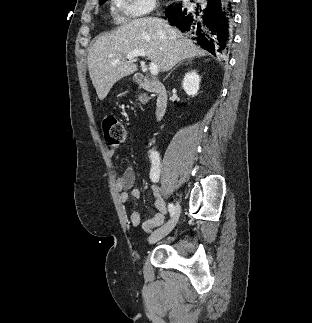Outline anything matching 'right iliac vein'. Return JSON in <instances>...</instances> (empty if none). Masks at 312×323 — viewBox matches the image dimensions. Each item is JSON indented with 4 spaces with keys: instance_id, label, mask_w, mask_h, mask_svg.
Returning <instances> with one entry per match:
<instances>
[{
    "instance_id": "obj_1",
    "label": "right iliac vein",
    "mask_w": 312,
    "mask_h": 323,
    "mask_svg": "<svg viewBox=\"0 0 312 323\" xmlns=\"http://www.w3.org/2000/svg\"><path fill=\"white\" fill-rule=\"evenodd\" d=\"M176 205H177V210H176L175 214L173 215V218L169 222H167L166 224L159 227L157 230H155L150 235L149 243L152 244V243H155V242L159 241L160 239L164 238L175 227V225L178 221L179 214H180V204L178 201L176 202Z\"/></svg>"
}]
</instances>
